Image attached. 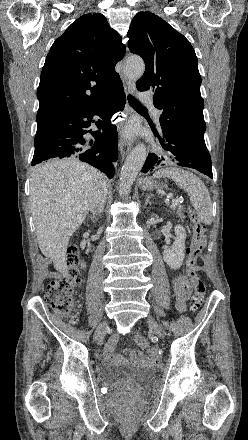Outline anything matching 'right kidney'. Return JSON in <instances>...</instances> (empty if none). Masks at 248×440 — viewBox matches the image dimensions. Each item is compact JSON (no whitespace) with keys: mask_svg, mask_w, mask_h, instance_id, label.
Here are the masks:
<instances>
[{"mask_svg":"<svg viewBox=\"0 0 248 440\" xmlns=\"http://www.w3.org/2000/svg\"><path fill=\"white\" fill-rule=\"evenodd\" d=\"M81 266H82V267H86V264H85V263H82Z\"/></svg>","mask_w":248,"mask_h":440,"instance_id":"1","label":"right kidney"}]
</instances>
